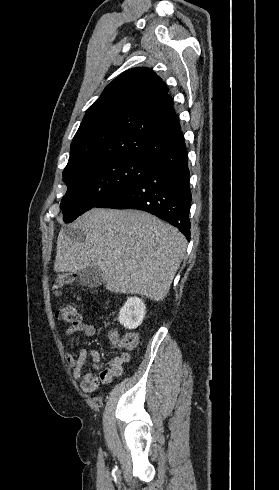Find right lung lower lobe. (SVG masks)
Listing matches in <instances>:
<instances>
[{
  "label": "right lung lower lobe",
  "mask_w": 279,
  "mask_h": 490,
  "mask_svg": "<svg viewBox=\"0 0 279 490\" xmlns=\"http://www.w3.org/2000/svg\"><path fill=\"white\" fill-rule=\"evenodd\" d=\"M192 195L185 143L159 156L139 179L106 196L95 207L137 209L177 227L190 240Z\"/></svg>",
  "instance_id": "obj_1"
}]
</instances>
